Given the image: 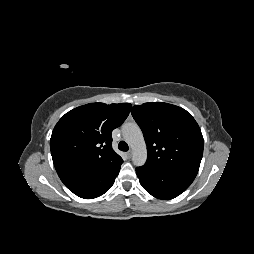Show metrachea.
Masks as SVG:
<instances>
[{"instance_id":"trachea-1","label":"trachea","mask_w":254,"mask_h":254,"mask_svg":"<svg viewBox=\"0 0 254 254\" xmlns=\"http://www.w3.org/2000/svg\"><path fill=\"white\" fill-rule=\"evenodd\" d=\"M118 148L121 151H128L129 147L125 141H120L118 144Z\"/></svg>"}]
</instances>
